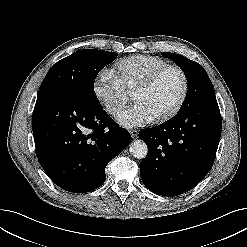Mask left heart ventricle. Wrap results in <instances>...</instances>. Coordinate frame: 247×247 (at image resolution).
Segmentation results:
<instances>
[{"label":"left heart ventricle","mask_w":247,"mask_h":247,"mask_svg":"<svg viewBox=\"0 0 247 247\" xmlns=\"http://www.w3.org/2000/svg\"><path fill=\"white\" fill-rule=\"evenodd\" d=\"M183 88V80L176 70L164 72L147 89L133 91L132 99L144 104L155 117L165 113L177 102Z\"/></svg>","instance_id":"b2bd125f"}]
</instances>
